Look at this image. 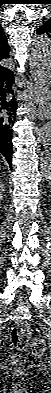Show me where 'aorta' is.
<instances>
[{
  "label": "aorta",
  "mask_w": 51,
  "mask_h": 393,
  "mask_svg": "<svg viewBox=\"0 0 51 393\" xmlns=\"http://www.w3.org/2000/svg\"><path fill=\"white\" fill-rule=\"evenodd\" d=\"M30 69L33 80L44 93H49L51 82V39L46 36L35 37L31 47ZM38 141L48 144L51 141V124L47 122L39 131Z\"/></svg>",
  "instance_id": "1"
}]
</instances>
